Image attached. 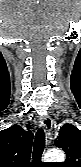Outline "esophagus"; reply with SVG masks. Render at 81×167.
<instances>
[{"label": "esophagus", "mask_w": 81, "mask_h": 167, "mask_svg": "<svg viewBox=\"0 0 81 167\" xmlns=\"http://www.w3.org/2000/svg\"><path fill=\"white\" fill-rule=\"evenodd\" d=\"M40 125L41 127L44 128L47 137L51 136V132H52V119L50 116H43L40 119Z\"/></svg>", "instance_id": "esophagus-1"}]
</instances>
